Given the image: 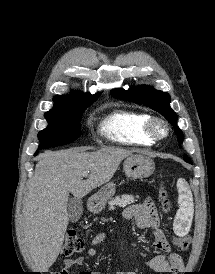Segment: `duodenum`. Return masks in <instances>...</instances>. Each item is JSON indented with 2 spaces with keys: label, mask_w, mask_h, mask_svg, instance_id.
Listing matches in <instances>:
<instances>
[{
  "label": "duodenum",
  "mask_w": 215,
  "mask_h": 274,
  "mask_svg": "<svg viewBox=\"0 0 215 274\" xmlns=\"http://www.w3.org/2000/svg\"><path fill=\"white\" fill-rule=\"evenodd\" d=\"M90 205H91V206L94 205V201H93V200L90 201Z\"/></svg>",
  "instance_id": "duodenum-1"
}]
</instances>
